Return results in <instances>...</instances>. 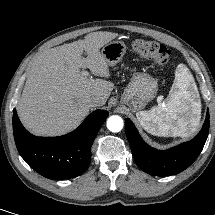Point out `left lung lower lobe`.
I'll return each mask as SVG.
<instances>
[{
	"label": "left lung lower lobe",
	"mask_w": 215,
	"mask_h": 215,
	"mask_svg": "<svg viewBox=\"0 0 215 215\" xmlns=\"http://www.w3.org/2000/svg\"><path fill=\"white\" fill-rule=\"evenodd\" d=\"M209 132V111L201 131L191 141L168 150L150 147L139 135L130 119H126V135L136 164L144 172L156 176H169L188 168L199 156Z\"/></svg>",
	"instance_id": "1"
}]
</instances>
